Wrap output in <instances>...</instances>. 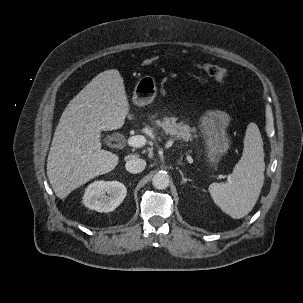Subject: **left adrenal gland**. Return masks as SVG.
I'll use <instances>...</instances> for the list:
<instances>
[{"mask_svg":"<svg viewBox=\"0 0 303 303\" xmlns=\"http://www.w3.org/2000/svg\"><path fill=\"white\" fill-rule=\"evenodd\" d=\"M179 173L182 177V183H186L187 181H191L189 178H185L183 172L179 169Z\"/></svg>","mask_w":303,"mask_h":303,"instance_id":"left-adrenal-gland-1","label":"left adrenal gland"}]
</instances>
